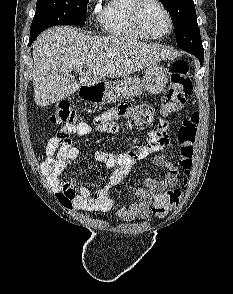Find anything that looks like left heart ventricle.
<instances>
[{
  "mask_svg": "<svg viewBox=\"0 0 233 294\" xmlns=\"http://www.w3.org/2000/svg\"><path fill=\"white\" fill-rule=\"evenodd\" d=\"M141 21L144 28L153 35H161L169 28L166 14L154 3H147L142 8Z\"/></svg>",
  "mask_w": 233,
  "mask_h": 294,
  "instance_id": "b2bd125f",
  "label": "left heart ventricle"
}]
</instances>
